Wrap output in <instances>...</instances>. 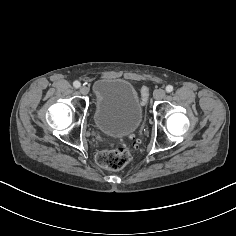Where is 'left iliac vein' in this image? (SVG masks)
I'll use <instances>...</instances> for the list:
<instances>
[{"label":"left iliac vein","mask_w":236,"mask_h":236,"mask_svg":"<svg viewBox=\"0 0 236 236\" xmlns=\"http://www.w3.org/2000/svg\"><path fill=\"white\" fill-rule=\"evenodd\" d=\"M165 95H166L165 90H163V89H157V90H155V92H154V99H156V100H161V99H163V98L165 97Z\"/></svg>","instance_id":"left-iliac-vein-1"}]
</instances>
